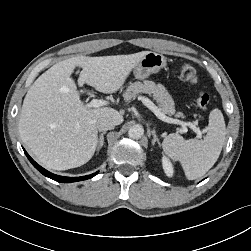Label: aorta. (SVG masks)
<instances>
[{
	"instance_id": "aorta-1",
	"label": "aorta",
	"mask_w": 251,
	"mask_h": 251,
	"mask_svg": "<svg viewBox=\"0 0 251 251\" xmlns=\"http://www.w3.org/2000/svg\"><path fill=\"white\" fill-rule=\"evenodd\" d=\"M144 134V128L142 125H134L128 131V136L132 139H140Z\"/></svg>"
}]
</instances>
